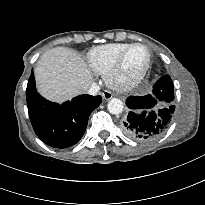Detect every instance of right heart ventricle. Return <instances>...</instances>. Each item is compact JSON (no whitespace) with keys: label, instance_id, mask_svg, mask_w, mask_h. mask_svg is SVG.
I'll list each match as a JSON object with an SVG mask.
<instances>
[{"label":"right heart ventricle","instance_id":"obj_1","mask_svg":"<svg viewBox=\"0 0 205 205\" xmlns=\"http://www.w3.org/2000/svg\"><path fill=\"white\" fill-rule=\"evenodd\" d=\"M131 44L112 43L94 47L87 53L89 68L98 75L107 74L122 52Z\"/></svg>","mask_w":205,"mask_h":205}]
</instances>
